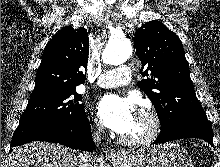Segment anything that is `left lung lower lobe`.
Returning a JSON list of instances; mask_svg holds the SVG:
<instances>
[{"mask_svg": "<svg viewBox=\"0 0 220 167\" xmlns=\"http://www.w3.org/2000/svg\"><path fill=\"white\" fill-rule=\"evenodd\" d=\"M182 138H201L213 146V132L206 115L188 118L169 130H161L155 144Z\"/></svg>", "mask_w": 220, "mask_h": 167, "instance_id": "left-lung-lower-lobe-1", "label": "left lung lower lobe"}]
</instances>
